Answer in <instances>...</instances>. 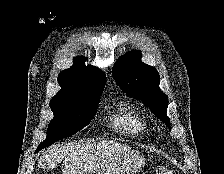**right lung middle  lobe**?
Listing matches in <instances>:
<instances>
[{
    "instance_id": "right-lung-middle-lobe-1",
    "label": "right lung middle lobe",
    "mask_w": 224,
    "mask_h": 174,
    "mask_svg": "<svg viewBox=\"0 0 224 174\" xmlns=\"http://www.w3.org/2000/svg\"><path fill=\"white\" fill-rule=\"evenodd\" d=\"M98 102L97 98L72 103H50L54 118L49 123L47 138L39 145L37 152L87 126L95 116Z\"/></svg>"
}]
</instances>
